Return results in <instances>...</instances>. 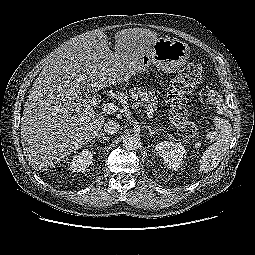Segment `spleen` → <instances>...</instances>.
<instances>
[{
  "mask_svg": "<svg viewBox=\"0 0 255 255\" xmlns=\"http://www.w3.org/2000/svg\"><path fill=\"white\" fill-rule=\"evenodd\" d=\"M217 125L220 132L217 141L209 146L200 158L199 171L207 173L218 166L225 156L232 140V127L226 119L219 118Z\"/></svg>",
  "mask_w": 255,
  "mask_h": 255,
  "instance_id": "obj_1",
  "label": "spleen"
}]
</instances>
